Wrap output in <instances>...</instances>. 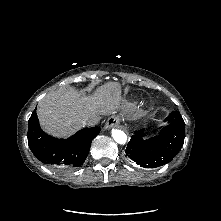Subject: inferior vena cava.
<instances>
[{
  "label": "inferior vena cava",
  "instance_id": "602c4592",
  "mask_svg": "<svg viewBox=\"0 0 221 221\" xmlns=\"http://www.w3.org/2000/svg\"><path fill=\"white\" fill-rule=\"evenodd\" d=\"M99 120H100V118L98 116H91V117H87L83 121V124L91 127V126H95Z\"/></svg>",
  "mask_w": 221,
  "mask_h": 221
}]
</instances>
